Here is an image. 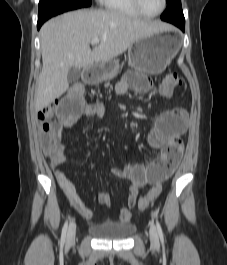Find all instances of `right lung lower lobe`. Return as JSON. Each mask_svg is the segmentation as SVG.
<instances>
[{"label":"right lung lower lobe","instance_id":"right-lung-lower-lobe-1","mask_svg":"<svg viewBox=\"0 0 227 265\" xmlns=\"http://www.w3.org/2000/svg\"><path fill=\"white\" fill-rule=\"evenodd\" d=\"M42 24H43V23L38 22V24H37L38 29L40 28V26H41Z\"/></svg>","mask_w":227,"mask_h":265}]
</instances>
